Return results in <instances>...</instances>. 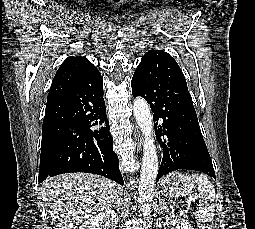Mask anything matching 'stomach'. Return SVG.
Returning <instances> with one entry per match:
<instances>
[{
	"label": "stomach",
	"mask_w": 255,
	"mask_h": 229,
	"mask_svg": "<svg viewBox=\"0 0 255 229\" xmlns=\"http://www.w3.org/2000/svg\"><path fill=\"white\" fill-rule=\"evenodd\" d=\"M195 180L179 171L172 172L162 178L159 189L169 198L184 197L192 193Z\"/></svg>",
	"instance_id": "stomach-1"
}]
</instances>
